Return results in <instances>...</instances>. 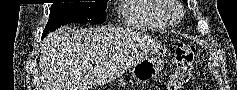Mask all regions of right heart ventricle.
Listing matches in <instances>:
<instances>
[{
	"instance_id": "right-heart-ventricle-1",
	"label": "right heart ventricle",
	"mask_w": 237,
	"mask_h": 90,
	"mask_svg": "<svg viewBox=\"0 0 237 90\" xmlns=\"http://www.w3.org/2000/svg\"><path fill=\"white\" fill-rule=\"evenodd\" d=\"M125 7H118V14L123 15V26L138 29H168L170 26L157 14H171V2L161 0H124ZM131 63V62H129ZM130 68V67H129Z\"/></svg>"
}]
</instances>
